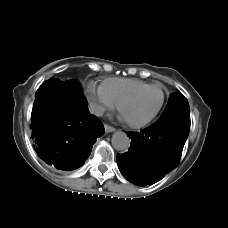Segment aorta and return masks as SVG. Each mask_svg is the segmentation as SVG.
Masks as SVG:
<instances>
[{
    "label": "aorta",
    "mask_w": 228,
    "mask_h": 228,
    "mask_svg": "<svg viewBox=\"0 0 228 228\" xmlns=\"http://www.w3.org/2000/svg\"><path fill=\"white\" fill-rule=\"evenodd\" d=\"M112 146L117 151H127L130 147V139L125 132L117 131L112 136Z\"/></svg>",
    "instance_id": "1"
}]
</instances>
